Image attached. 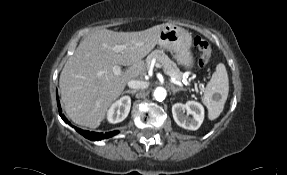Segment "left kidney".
<instances>
[{
  "label": "left kidney",
  "instance_id": "5707ae66",
  "mask_svg": "<svg viewBox=\"0 0 287 175\" xmlns=\"http://www.w3.org/2000/svg\"><path fill=\"white\" fill-rule=\"evenodd\" d=\"M185 111L187 115H192V118L184 115ZM172 114L175 122L180 126L188 130H197L204 120V108L195 101H188L186 104L176 103L172 106Z\"/></svg>",
  "mask_w": 287,
  "mask_h": 175
}]
</instances>
